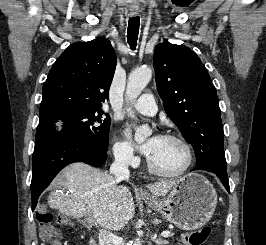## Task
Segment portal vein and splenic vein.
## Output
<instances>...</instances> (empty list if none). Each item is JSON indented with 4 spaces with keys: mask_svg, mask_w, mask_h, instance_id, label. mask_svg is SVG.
<instances>
[{
    "mask_svg": "<svg viewBox=\"0 0 266 245\" xmlns=\"http://www.w3.org/2000/svg\"><path fill=\"white\" fill-rule=\"evenodd\" d=\"M162 237H171V233L170 231H163V233H161Z\"/></svg>",
    "mask_w": 266,
    "mask_h": 245,
    "instance_id": "18ae733b",
    "label": "portal vein and splenic vein"
}]
</instances>
